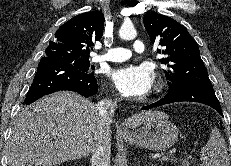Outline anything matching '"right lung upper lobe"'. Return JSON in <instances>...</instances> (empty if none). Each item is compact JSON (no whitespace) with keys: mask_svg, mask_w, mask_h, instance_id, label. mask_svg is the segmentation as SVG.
<instances>
[{"mask_svg":"<svg viewBox=\"0 0 231 166\" xmlns=\"http://www.w3.org/2000/svg\"><path fill=\"white\" fill-rule=\"evenodd\" d=\"M104 29V15L99 11L82 13L64 23L49 42L46 56L59 58L89 59L95 41L100 40Z\"/></svg>","mask_w":231,"mask_h":166,"instance_id":"1","label":"right lung upper lobe"}]
</instances>
